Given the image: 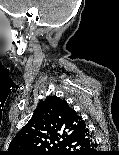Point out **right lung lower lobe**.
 Segmentation results:
<instances>
[{
  "label": "right lung lower lobe",
  "instance_id": "right-lung-lower-lobe-1",
  "mask_svg": "<svg viewBox=\"0 0 119 155\" xmlns=\"http://www.w3.org/2000/svg\"><path fill=\"white\" fill-rule=\"evenodd\" d=\"M97 143L85 127L81 132L71 137L57 153V155H99Z\"/></svg>",
  "mask_w": 119,
  "mask_h": 155
}]
</instances>
